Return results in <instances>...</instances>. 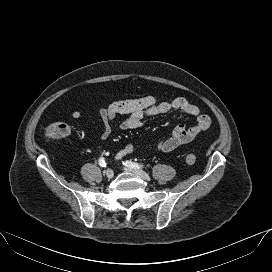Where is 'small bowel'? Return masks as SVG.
I'll use <instances>...</instances> for the list:
<instances>
[{"label":"small bowel","mask_w":272,"mask_h":272,"mask_svg":"<svg viewBox=\"0 0 272 272\" xmlns=\"http://www.w3.org/2000/svg\"><path fill=\"white\" fill-rule=\"evenodd\" d=\"M173 110L185 113L195 118L196 123L191 127L177 126L171 134L157 143V149L161 152H170L176 148L190 143L206 132L210 125L211 119L208 115L203 114L199 106L189 102L185 98H175L169 101H159L153 96L121 100L112 102L99 108V115L103 122V130L100 134L102 140L110 137L113 129V123L118 115H126L125 119L120 122L119 128L122 130H133L139 128L144 118L149 116L169 113ZM73 119H81L83 113L79 110L71 112ZM135 152V145L127 143L116 155L120 159L126 155Z\"/></svg>","instance_id":"c3829d8e"}]
</instances>
